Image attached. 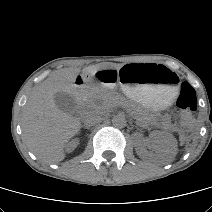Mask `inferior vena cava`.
Wrapping results in <instances>:
<instances>
[{
	"label": "inferior vena cava",
	"mask_w": 212,
	"mask_h": 212,
	"mask_svg": "<svg viewBox=\"0 0 212 212\" xmlns=\"http://www.w3.org/2000/svg\"><path fill=\"white\" fill-rule=\"evenodd\" d=\"M103 120L101 113L97 110H91L85 114L83 117V123L87 126H93L95 124L100 123Z\"/></svg>",
	"instance_id": "inferior-vena-cava-1"
}]
</instances>
